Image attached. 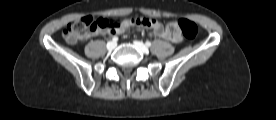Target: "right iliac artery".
Returning <instances> with one entry per match:
<instances>
[{"mask_svg":"<svg viewBox=\"0 0 276 120\" xmlns=\"http://www.w3.org/2000/svg\"><path fill=\"white\" fill-rule=\"evenodd\" d=\"M112 41H113V42H117V41H118V37L114 36V37L112 38Z\"/></svg>","mask_w":276,"mask_h":120,"instance_id":"right-iliac-artery-1","label":"right iliac artery"}]
</instances>
